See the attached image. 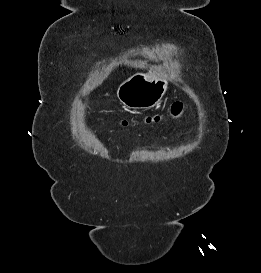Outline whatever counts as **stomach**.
I'll use <instances>...</instances> for the list:
<instances>
[{
  "label": "stomach",
  "mask_w": 261,
  "mask_h": 273,
  "mask_svg": "<svg viewBox=\"0 0 261 273\" xmlns=\"http://www.w3.org/2000/svg\"><path fill=\"white\" fill-rule=\"evenodd\" d=\"M168 88V81L152 73H136L117 89L120 102L131 109H149L157 105Z\"/></svg>",
  "instance_id": "0dacf381"
}]
</instances>
